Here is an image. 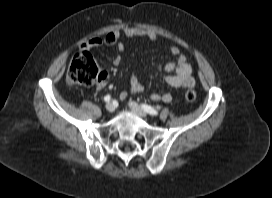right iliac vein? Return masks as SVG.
I'll return each instance as SVG.
<instances>
[{
    "mask_svg": "<svg viewBox=\"0 0 272 198\" xmlns=\"http://www.w3.org/2000/svg\"><path fill=\"white\" fill-rule=\"evenodd\" d=\"M114 109H115V107H114V105H113L112 103L108 102V103L106 104V110H107L108 112L112 113V112L114 111Z\"/></svg>",
    "mask_w": 272,
    "mask_h": 198,
    "instance_id": "right-iliac-vein-1",
    "label": "right iliac vein"
}]
</instances>
